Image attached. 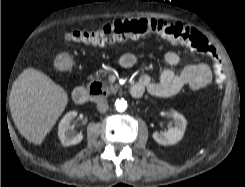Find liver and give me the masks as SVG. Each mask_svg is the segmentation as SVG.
I'll return each instance as SVG.
<instances>
[{"label":"liver","instance_id":"liver-1","mask_svg":"<svg viewBox=\"0 0 245 187\" xmlns=\"http://www.w3.org/2000/svg\"><path fill=\"white\" fill-rule=\"evenodd\" d=\"M68 103L65 90L44 73L25 69L14 81L9 97L15 126L29 142L40 145Z\"/></svg>","mask_w":245,"mask_h":187}]
</instances>
